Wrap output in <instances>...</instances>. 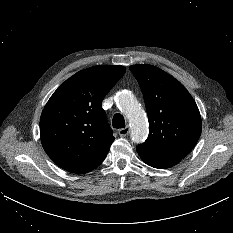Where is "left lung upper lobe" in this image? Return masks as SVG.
<instances>
[{
	"instance_id": "obj_1",
	"label": "left lung upper lobe",
	"mask_w": 233,
	"mask_h": 233,
	"mask_svg": "<svg viewBox=\"0 0 233 233\" xmlns=\"http://www.w3.org/2000/svg\"><path fill=\"white\" fill-rule=\"evenodd\" d=\"M142 90L149 120V136L142 149L183 159L201 134L198 107L186 88L174 77L152 65L129 67Z\"/></svg>"
}]
</instances>
